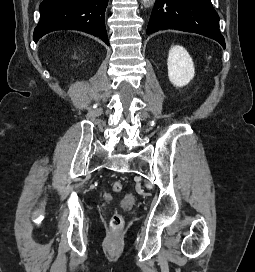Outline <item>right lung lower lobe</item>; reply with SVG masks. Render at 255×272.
<instances>
[{"instance_id":"obj_1","label":"right lung lower lobe","mask_w":255,"mask_h":272,"mask_svg":"<svg viewBox=\"0 0 255 272\" xmlns=\"http://www.w3.org/2000/svg\"><path fill=\"white\" fill-rule=\"evenodd\" d=\"M108 0H44L40 4V22L34 30L37 42L56 30H79L109 40L105 28Z\"/></svg>"}]
</instances>
